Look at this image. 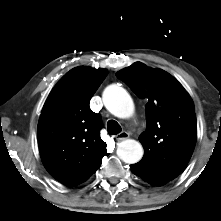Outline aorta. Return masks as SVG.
<instances>
[{
	"label": "aorta",
	"instance_id": "1",
	"mask_svg": "<svg viewBox=\"0 0 221 221\" xmlns=\"http://www.w3.org/2000/svg\"><path fill=\"white\" fill-rule=\"evenodd\" d=\"M107 110L118 118H129L134 114V103L129 93L122 87L114 84L108 86L102 95ZM144 154L142 145L132 139L119 143L117 155L128 164L139 162Z\"/></svg>",
	"mask_w": 221,
	"mask_h": 221
}]
</instances>
